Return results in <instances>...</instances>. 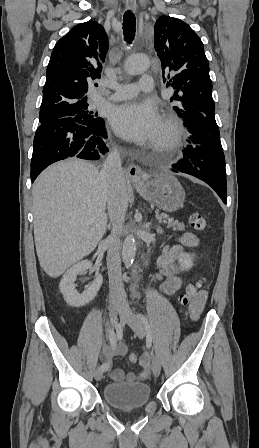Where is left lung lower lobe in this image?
Instances as JSON below:
<instances>
[{"instance_id": "0a47b994", "label": "left lung lower lobe", "mask_w": 259, "mask_h": 448, "mask_svg": "<svg viewBox=\"0 0 259 448\" xmlns=\"http://www.w3.org/2000/svg\"><path fill=\"white\" fill-rule=\"evenodd\" d=\"M190 132L183 159L172 165V171L183 172L206 182L227 203L226 169L219 128L210 113L187 111L182 115Z\"/></svg>"}]
</instances>
